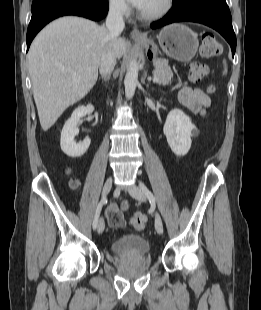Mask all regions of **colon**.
<instances>
[{
  "label": "colon",
  "instance_id": "5ec220e1",
  "mask_svg": "<svg viewBox=\"0 0 261 310\" xmlns=\"http://www.w3.org/2000/svg\"><path fill=\"white\" fill-rule=\"evenodd\" d=\"M200 53L203 57L209 58L217 56L221 53V45L216 40L215 36L211 33H204L202 35V43L200 47ZM207 72V68L202 63H194L190 68V79L193 82L199 81ZM211 90H213L211 88ZM70 185L72 188H76L78 186V180L73 178L70 181ZM106 214L109 223L112 227H125L127 222L124 220V214L122 210L118 206V202L116 200H112L110 204L106 206ZM131 225L137 229H143L147 224V217L145 214L141 212H136L131 217Z\"/></svg>",
  "mask_w": 261,
  "mask_h": 310
}]
</instances>
